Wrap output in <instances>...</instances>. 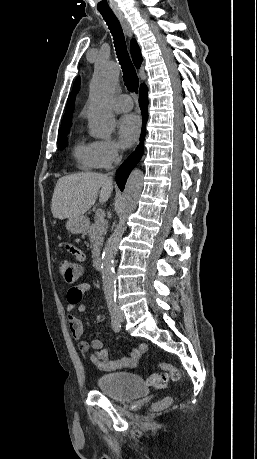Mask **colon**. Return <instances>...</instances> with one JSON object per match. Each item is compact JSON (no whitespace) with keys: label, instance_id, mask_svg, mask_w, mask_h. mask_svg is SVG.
Here are the masks:
<instances>
[{"label":"colon","instance_id":"1","mask_svg":"<svg viewBox=\"0 0 257 459\" xmlns=\"http://www.w3.org/2000/svg\"><path fill=\"white\" fill-rule=\"evenodd\" d=\"M59 272L68 284L75 283L82 274L80 264H71L70 260H61L59 262ZM158 365L161 368V371L152 373L147 378L148 386L161 389L166 386L169 379L173 381H178L180 379V371L173 365L164 362H160ZM170 403L171 398L164 397L154 404L153 409L155 411L164 409L168 407Z\"/></svg>","mask_w":257,"mask_h":459}]
</instances>
